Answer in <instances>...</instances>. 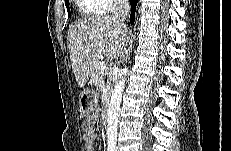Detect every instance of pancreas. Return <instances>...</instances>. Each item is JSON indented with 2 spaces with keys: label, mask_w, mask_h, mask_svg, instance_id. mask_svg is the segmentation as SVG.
<instances>
[{
  "label": "pancreas",
  "mask_w": 231,
  "mask_h": 151,
  "mask_svg": "<svg viewBox=\"0 0 231 151\" xmlns=\"http://www.w3.org/2000/svg\"><path fill=\"white\" fill-rule=\"evenodd\" d=\"M99 65L100 64L98 63V65L96 66L95 71L92 75L91 81L93 82L94 85L99 86V87H103V85H104L103 84V76L99 71ZM106 87H107V89L110 88V80L107 81Z\"/></svg>",
  "instance_id": "1"
}]
</instances>
